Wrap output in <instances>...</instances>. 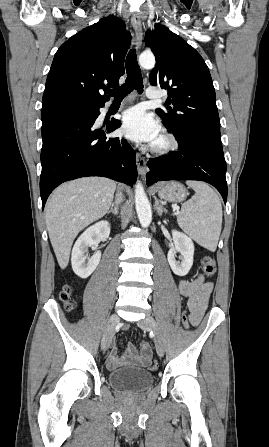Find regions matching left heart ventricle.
<instances>
[{"mask_svg": "<svg viewBox=\"0 0 269 447\" xmlns=\"http://www.w3.org/2000/svg\"><path fill=\"white\" fill-rule=\"evenodd\" d=\"M152 145L156 148L163 147L165 145V138L162 134L158 136V138L152 143Z\"/></svg>", "mask_w": 269, "mask_h": 447, "instance_id": "b2bd125f", "label": "left heart ventricle"}]
</instances>
